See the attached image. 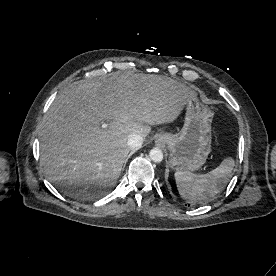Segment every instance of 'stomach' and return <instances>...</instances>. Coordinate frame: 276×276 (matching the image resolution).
Segmentation results:
<instances>
[{
  "label": "stomach",
  "instance_id": "1",
  "mask_svg": "<svg viewBox=\"0 0 276 276\" xmlns=\"http://www.w3.org/2000/svg\"><path fill=\"white\" fill-rule=\"evenodd\" d=\"M213 113L197 99L186 105L185 122L177 134L162 132L157 142L166 145L172 169L194 172L199 170L211 152Z\"/></svg>",
  "mask_w": 276,
  "mask_h": 276
}]
</instances>
